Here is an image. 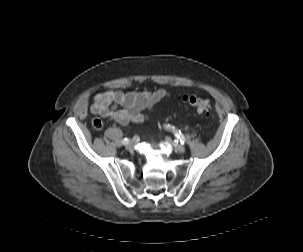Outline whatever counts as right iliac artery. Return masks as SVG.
Listing matches in <instances>:
<instances>
[{
    "instance_id": "1",
    "label": "right iliac artery",
    "mask_w": 303,
    "mask_h": 252,
    "mask_svg": "<svg viewBox=\"0 0 303 252\" xmlns=\"http://www.w3.org/2000/svg\"><path fill=\"white\" fill-rule=\"evenodd\" d=\"M129 142V139L128 138H124L123 140H122V143L123 144H127Z\"/></svg>"
}]
</instances>
